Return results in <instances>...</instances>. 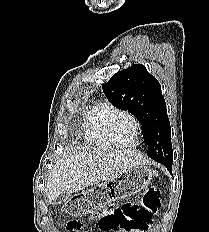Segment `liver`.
<instances>
[{
    "mask_svg": "<svg viewBox=\"0 0 209 232\" xmlns=\"http://www.w3.org/2000/svg\"><path fill=\"white\" fill-rule=\"evenodd\" d=\"M148 163L136 151L110 150L101 147H82L65 152L55 163L46 184L48 201L61 194H72L101 181L116 178L133 167Z\"/></svg>",
    "mask_w": 209,
    "mask_h": 232,
    "instance_id": "obj_1",
    "label": "liver"
}]
</instances>
